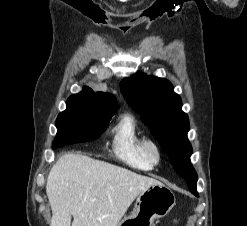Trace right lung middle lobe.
I'll list each match as a JSON object with an SVG mask.
<instances>
[{
	"instance_id": "dd1d6c3e",
	"label": "right lung middle lobe",
	"mask_w": 247,
	"mask_h": 226,
	"mask_svg": "<svg viewBox=\"0 0 247 226\" xmlns=\"http://www.w3.org/2000/svg\"><path fill=\"white\" fill-rule=\"evenodd\" d=\"M97 103L80 95L67 100V109L56 120L57 135L53 148L92 141L103 133L114 115H101Z\"/></svg>"
}]
</instances>
